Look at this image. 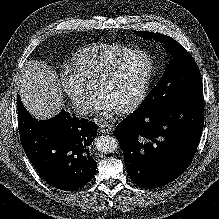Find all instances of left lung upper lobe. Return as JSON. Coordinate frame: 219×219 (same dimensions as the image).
Masks as SVG:
<instances>
[{
  "label": "left lung upper lobe",
  "instance_id": "1",
  "mask_svg": "<svg viewBox=\"0 0 219 219\" xmlns=\"http://www.w3.org/2000/svg\"><path fill=\"white\" fill-rule=\"evenodd\" d=\"M136 34L146 39L161 41L167 52L172 54V59L161 80L134 112H153L178 100L202 95L203 85L199 68L182 45L159 33L137 31Z\"/></svg>",
  "mask_w": 219,
  "mask_h": 219
}]
</instances>
